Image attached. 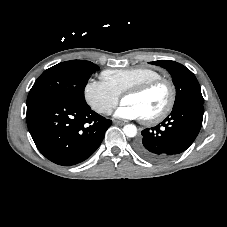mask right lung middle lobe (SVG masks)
Here are the masks:
<instances>
[{"mask_svg":"<svg viewBox=\"0 0 227 227\" xmlns=\"http://www.w3.org/2000/svg\"><path fill=\"white\" fill-rule=\"evenodd\" d=\"M99 67L90 61L72 60L59 63L47 70L35 81L27 103L52 98L85 103L82 87L87 78Z\"/></svg>","mask_w":227,"mask_h":227,"instance_id":"1","label":"right lung middle lobe"}]
</instances>
